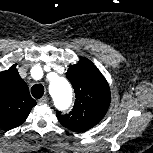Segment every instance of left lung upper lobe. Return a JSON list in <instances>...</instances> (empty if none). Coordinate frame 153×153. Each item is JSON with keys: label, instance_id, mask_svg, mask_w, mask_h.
<instances>
[{"label": "left lung upper lobe", "instance_id": "obj_1", "mask_svg": "<svg viewBox=\"0 0 153 153\" xmlns=\"http://www.w3.org/2000/svg\"><path fill=\"white\" fill-rule=\"evenodd\" d=\"M66 77L74 88L76 100L69 114L57 111V118L67 129L85 132L106 114L110 104L109 85L98 68L84 57L68 68Z\"/></svg>", "mask_w": 153, "mask_h": 153}]
</instances>
